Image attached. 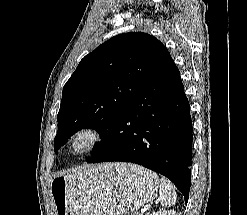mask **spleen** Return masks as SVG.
I'll use <instances>...</instances> for the list:
<instances>
[{"mask_svg":"<svg viewBox=\"0 0 247 215\" xmlns=\"http://www.w3.org/2000/svg\"><path fill=\"white\" fill-rule=\"evenodd\" d=\"M159 194L162 206L166 207L175 204L177 195L173 184L167 178H161Z\"/></svg>","mask_w":247,"mask_h":215,"instance_id":"3e777b00","label":"spleen"}]
</instances>
